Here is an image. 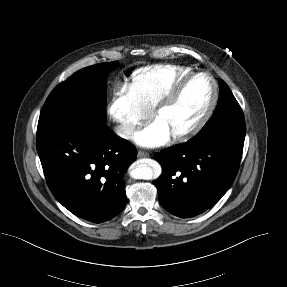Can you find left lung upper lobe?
Returning a JSON list of instances; mask_svg holds the SVG:
<instances>
[{
  "instance_id": "left-lung-upper-lobe-1",
  "label": "left lung upper lobe",
  "mask_w": 287,
  "mask_h": 287,
  "mask_svg": "<svg viewBox=\"0 0 287 287\" xmlns=\"http://www.w3.org/2000/svg\"><path fill=\"white\" fill-rule=\"evenodd\" d=\"M219 87L220 97L215 112L192 139L204 143L226 142L243 146L246 128L242 109L223 80H219Z\"/></svg>"
}]
</instances>
